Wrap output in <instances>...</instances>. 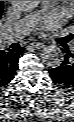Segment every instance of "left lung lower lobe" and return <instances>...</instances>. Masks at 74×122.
I'll use <instances>...</instances> for the list:
<instances>
[{
	"mask_svg": "<svg viewBox=\"0 0 74 122\" xmlns=\"http://www.w3.org/2000/svg\"><path fill=\"white\" fill-rule=\"evenodd\" d=\"M65 58L62 64L49 70L50 77L54 82L64 87L74 88V49L65 47Z\"/></svg>",
	"mask_w": 74,
	"mask_h": 122,
	"instance_id": "0a47b994",
	"label": "left lung lower lobe"
}]
</instances>
